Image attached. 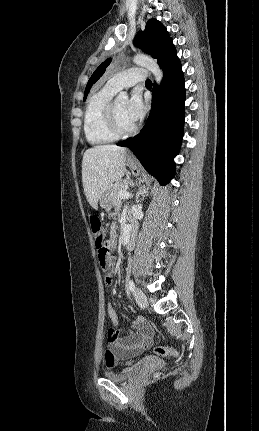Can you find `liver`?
Listing matches in <instances>:
<instances>
[{
  "instance_id": "1",
  "label": "liver",
  "mask_w": 259,
  "mask_h": 431,
  "mask_svg": "<svg viewBox=\"0 0 259 431\" xmlns=\"http://www.w3.org/2000/svg\"><path fill=\"white\" fill-rule=\"evenodd\" d=\"M126 156V149L115 145H98L85 151L82 183L86 199L94 209L110 185L124 176Z\"/></svg>"
}]
</instances>
